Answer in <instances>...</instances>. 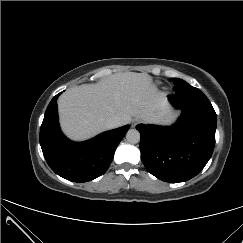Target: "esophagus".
<instances>
[{
	"instance_id": "1",
	"label": "esophagus",
	"mask_w": 243,
	"mask_h": 243,
	"mask_svg": "<svg viewBox=\"0 0 243 243\" xmlns=\"http://www.w3.org/2000/svg\"><path fill=\"white\" fill-rule=\"evenodd\" d=\"M139 122H140L139 119H136V118L133 119L132 120V126L135 127Z\"/></svg>"
}]
</instances>
